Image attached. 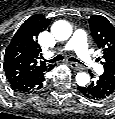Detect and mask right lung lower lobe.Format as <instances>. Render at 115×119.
I'll use <instances>...</instances> for the list:
<instances>
[{"instance_id":"right-lung-lower-lobe-1","label":"right lung lower lobe","mask_w":115,"mask_h":119,"mask_svg":"<svg viewBox=\"0 0 115 119\" xmlns=\"http://www.w3.org/2000/svg\"><path fill=\"white\" fill-rule=\"evenodd\" d=\"M53 66L48 67L47 69L36 71L35 73L23 78L14 83H10L11 88L21 94H31L36 93L40 90L45 81V73L50 71Z\"/></svg>"}]
</instances>
